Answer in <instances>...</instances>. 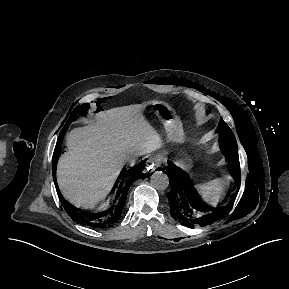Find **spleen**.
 Instances as JSON below:
<instances>
[{
	"label": "spleen",
	"instance_id": "obj_1",
	"mask_svg": "<svg viewBox=\"0 0 289 289\" xmlns=\"http://www.w3.org/2000/svg\"><path fill=\"white\" fill-rule=\"evenodd\" d=\"M225 184V179L216 178L212 181L198 184L196 188L205 202L216 205L224 194Z\"/></svg>",
	"mask_w": 289,
	"mask_h": 289
}]
</instances>
